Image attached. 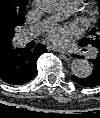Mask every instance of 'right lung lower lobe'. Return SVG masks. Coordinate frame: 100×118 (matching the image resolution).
Instances as JSON below:
<instances>
[{"mask_svg": "<svg viewBox=\"0 0 100 118\" xmlns=\"http://www.w3.org/2000/svg\"><path fill=\"white\" fill-rule=\"evenodd\" d=\"M45 46L38 44L34 49L13 48L0 54V78L10 85H22L36 76V62L45 53Z\"/></svg>", "mask_w": 100, "mask_h": 118, "instance_id": "obj_1", "label": "right lung lower lobe"}]
</instances>
